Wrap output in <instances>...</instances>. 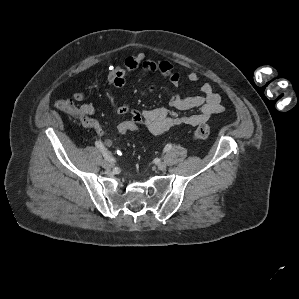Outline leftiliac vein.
Returning a JSON list of instances; mask_svg holds the SVG:
<instances>
[{"label":"left iliac vein","mask_w":299,"mask_h":299,"mask_svg":"<svg viewBox=\"0 0 299 299\" xmlns=\"http://www.w3.org/2000/svg\"><path fill=\"white\" fill-rule=\"evenodd\" d=\"M157 168L160 171H164V170H166V164L164 162H159V163H157Z\"/></svg>","instance_id":"1"}]
</instances>
